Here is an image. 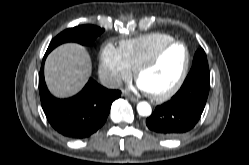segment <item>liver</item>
Instances as JSON below:
<instances>
[{"instance_id":"liver-1","label":"liver","mask_w":249,"mask_h":165,"mask_svg":"<svg viewBox=\"0 0 249 165\" xmlns=\"http://www.w3.org/2000/svg\"><path fill=\"white\" fill-rule=\"evenodd\" d=\"M92 64L86 49L76 43L58 46L45 62V80L49 91L58 98L78 93L91 75Z\"/></svg>"}]
</instances>
